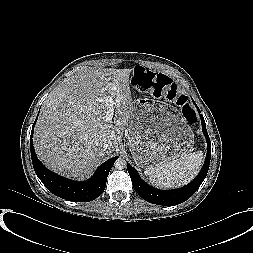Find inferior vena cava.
<instances>
[{"mask_svg": "<svg viewBox=\"0 0 253 253\" xmlns=\"http://www.w3.org/2000/svg\"><path fill=\"white\" fill-rule=\"evenodd\" d=\"M109 147H110V145L106 142L102 145V148L104 151L107 150Z\"/></svg>", "mask_w": 253, "mask_h": 253, "instance_id": "obj_1", "label": "inferior vena cava"}]
</instances>
